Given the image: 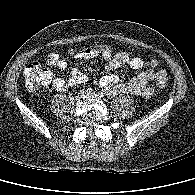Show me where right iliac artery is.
<instances>
[{"mask_svg": "<svg viewBox=\"0 0 195 195\" xmlns=\"http://www.w3.org/2000/svg\"><path fill=\"white\" fill-rule=\"evenodd\" d=\"M91 92H93V89L92 88H88L87 89V93H91Z\"/></svg>", "mask_w": 195, "mask_h": 195, "instance_id": "right-iliac-artery-1", "label": "right iliac artery"}]
</instances>
